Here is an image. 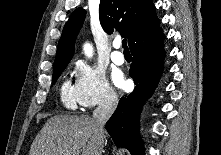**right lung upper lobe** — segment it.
<instances>
[{"label": "right lung upper lobe", "instance_id": "1", "mask_svg": "<svg viewBox=\"0 0 221 155\" xmlns=\"http://www.w3.org/2000/svg\"><path fill=\"white\" fill-rule=\"evenodd\" d=\"M86 11L76 9L66 22L58 44L54 69L67 65L74 54V44L84 22ZM100 23L104 31L114 30L128 38V44L159 23L152 0H101L99 6Z\"/></svg>", "mask_w": 221, "mask_h": 155}]
</instances>
